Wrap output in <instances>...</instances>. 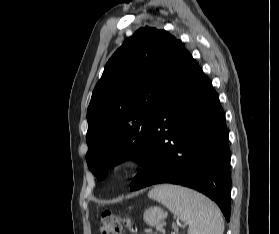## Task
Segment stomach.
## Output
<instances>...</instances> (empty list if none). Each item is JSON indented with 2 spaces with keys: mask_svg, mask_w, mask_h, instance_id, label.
I'll use <instances>...</instances> for the list:
<instances>
[{
  "mask_svg": "<svg viewBox=\"0 0 279 234\" xmlns=\"http://www.w3.org/2000/svg\"><path fill=\"white\" fill-rule=\"evenodd\" d=\"M165 218L164 211L159 207H150L143 214L144 221L150 226H156Z\"/></svg>",
  "mask_w": 279,
  "mask_h": 234,
  "instance_id": "0dacf381",
  "label": "stomach"
}]
</instances>
